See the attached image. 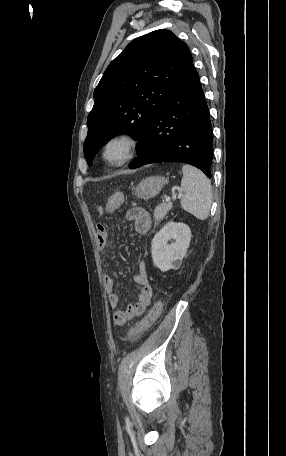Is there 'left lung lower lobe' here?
<instances>
[{
    "instance_id": "1",
    "label": "left lung lower lobe",
    "mask_w": 286,
    "mask_h": 456,
    "mask_svg": "<svg viewBox=\"0 0 286 456\" xmlns=\"http://www.w3.org/2000/svg\"><path fill=\"white\" fill-rule=\"evenodd\" d=\"M136 150L139 157L129 164L131 169L175 161L193 165L211 178L212 126L193 63L169 92Z\"/></svg>"
}]
</instances>
